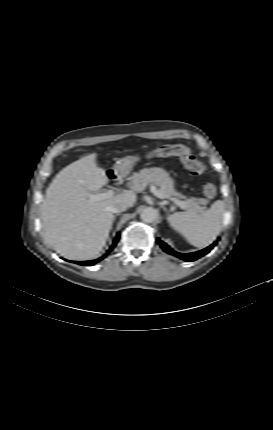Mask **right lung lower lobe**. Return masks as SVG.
Returning <instances> with one entry per match:
<instances>
[{"label": "right lung lower lobe", "instance_id": "1", "mask_svg": "<svg viewBox=\"0 0 273 430\" xmlns=\"http://www.w3.org/2000/svg\"><path fill=\"white\" fill-rule=\"evenodd\" d=\"M120 238V234L117 233L115 240L113 241L112 246L109 248V250L106 252V254H104L102 257L95 259L93 261H82V262H76V261H72L74 263H77L79 265H83V266H89V265H94L96 263H98L99 261H101L102 259H104L105 257H107V255L114 249V247L116 246L117 242L119 241Z\"/></svg>", "mask_w": 273, "mask_h": 430}]
</instances>
